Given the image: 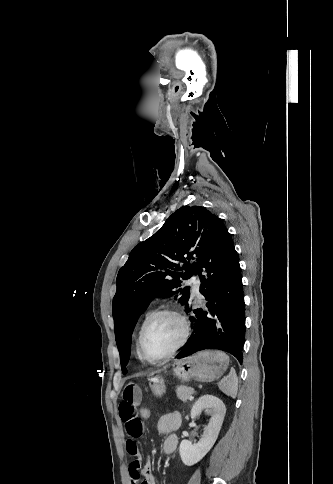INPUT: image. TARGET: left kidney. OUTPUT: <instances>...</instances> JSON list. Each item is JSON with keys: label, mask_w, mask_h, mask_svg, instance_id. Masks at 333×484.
<instances>
[{"label": "left kidney", "mask_w": 333, "mask_h": 484, "mask_svg": "<svg viewBox=\"0 0 333 484\" xmlns=\"http://www.w3.org/2000/svg\"><path fill=\"white\" fill-rule=\"evenodd\" d=\"M205 411L211 416L208 425L204 428L201 439L195 445L188 440L180 443L179 453L182 462L187 466L198 463L215 444L223 424L226 407L223 401L213 395H203L192 406L191 418H196Z\"/></svg>", "instance_id": "left-kidney-1"}]
</instances>
